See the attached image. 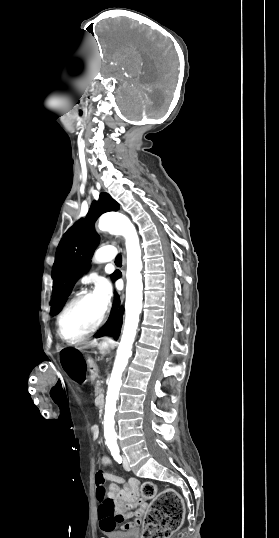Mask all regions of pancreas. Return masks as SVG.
Instances as JSON below:
<instances>
[{
	"mask_svg": "<svg viewBox=\"0 0 279 538\" xmlns=\"http://www.w3.org/2000/svg\"><path fill=\"white\" fill-rule=\"evenodd\" d=\"M95 384H96V387L94 388V391L96 392V396L101 397L103 395V392L105 391L102 381L100 379H97L95 381Z\"/></svg>",
	"mask_w": 279,
	"mask_h": 538,
	"instance_id": "cf45deb5",
	"label": "pancreas"
}]
</instances>
